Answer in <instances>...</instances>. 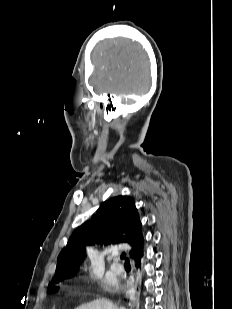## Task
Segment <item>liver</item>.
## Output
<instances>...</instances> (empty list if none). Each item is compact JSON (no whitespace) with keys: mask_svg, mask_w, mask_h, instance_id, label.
Masks as SVG:
<instances>
[{"mask_svg":"<svg viewBox=\"0 0 232 309\" xmlns=\"http://www.w3.org/2000/svg\"><path fill=\"white\" fill-rule=\"evenodd\" d=\"M76 309H118L110 300L101 298L87 304H83Z\"/></svg>","mask_w":232,"mask_h":309,"instance_id":"1","label":"liver"}]
</instances>
